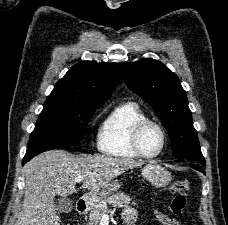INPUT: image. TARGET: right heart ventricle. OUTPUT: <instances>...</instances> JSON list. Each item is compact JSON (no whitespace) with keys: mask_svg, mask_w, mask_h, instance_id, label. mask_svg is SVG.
<instances>
[{"mask_svg":"<svg viewBox=\"0 0 228 225\" xmlns=\"http://www.w3.org/2000/svg\"><path fill=\"white\" fill-rule=\"evenodd\" d=\"M147 118L136 102L120 103L111 111L99 132V150L113 157L141 158L133 146L132 136L135 126Z\"/></svg>","mask_w":228,"mask_h":225,"instance_id":"1","label":"right heart ventricle"}]
</instances>
